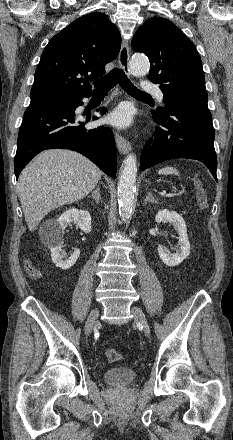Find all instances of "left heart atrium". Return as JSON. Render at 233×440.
I'll use <instances>...</instances> for the list:
<instances>
[{
	"label": "left heart atrium",
	"mask_w": 233,
	"mask_h": 440,
	"mask_svg": "<svg viewBox=\"0 0 233 440\" xmlns=\"http://www.w3.org/2000/svg\"><path fill=\"white\" fill-rule=\"evenodd\" d=\"M107 121L120 128L127 127L132 122L131 111L127 106L120 105L108 115Z\"/></svg>",
	"instance_id": "obj_1"
}]
</instances>
